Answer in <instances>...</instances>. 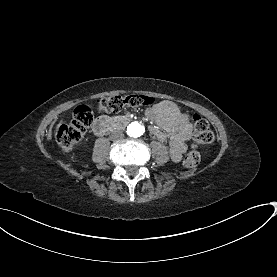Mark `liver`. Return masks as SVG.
<instances>
[{"instance_id": "1", "label": "liver", "mask_w": 277, "mask_h": 277, "mask_svg": "<svg viewBox=\"0 0 277 277\" xmlns=\"http://www.w3.org/2000/svg\"><path fill=\"white\" fill-rule=\"evenodd\" d=\"M61 123H62V121H61ZM61 123L58 124L57 128H59V126H60Z\"/></svg>"}]
</instances>
